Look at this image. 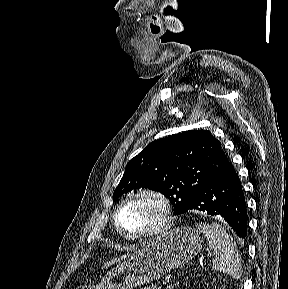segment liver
Here are the masks:
<instances>
[{"label": "liver", "mask_w": 288, "mask_h": 289, "mask_svg": "<svg viewBox=\"0 0 288 289\" xmlns=\"http://www.w3.org/2000/svg\"><path fill=\"white\" fill-rule=\"evenodd\" d=\"M134 255V254H133ZM132 255V256H133ZM130 256V255H129ZM126 258V256H121V257H119V258H115V259H113V260H111L110 262H106L105 264H104V266H103V268H107V267H109L110 265H112V264H115L116 262H119V261H121V260H123V259H125Z\"/></svg>", "instance_id": "obj_1"}]
</instances>
